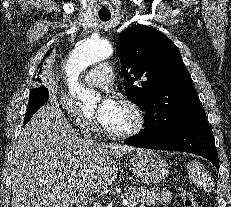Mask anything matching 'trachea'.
I'll return each instance as SVG.
<instances>
[{"mask_svg": "<svg viewBox=\"0 0 231 207\" xmlns=\"http://www.w3.org/2000/svg\"><path fill=\"white\" fill-rule=\"evenodd\" d=\"M99 18L102 21H108L111 18V15L110 14H99Z\"/></svg>", "mask_w": 231, "mask_h": 207, "instance_id": "1", "label": "trachea"}]
</instances>
